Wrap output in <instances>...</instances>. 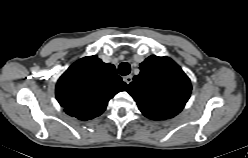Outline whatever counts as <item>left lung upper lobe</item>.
<instances>
[{
  "instance_id": "1",
  "label": "left lung upper lobe",
  "mask_w": 248,
  "mask_h": 158,
  "mask_svg": "<svg viewBox=\"0 0 248 158\" xmlns=\"http://www.w3.org/2000/svg\"><path fill=\"white\" fill-rule=\"evenodd\" d=\"M140 74L133 78L128 93L144 116L165 120L177 115L191 94V82L169 57L152 55L140 64Z\"/></svg>"
}]
</instances>
